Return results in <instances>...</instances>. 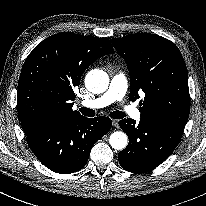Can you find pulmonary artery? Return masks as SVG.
<instances>
[{
    "mask_svg": "<svg viewBox=\"0 0 206 206\" xmlns=\"http://www.w3.org/2000/svg\"><path fill=\"white\" fill-rule=\"evenodd\" d=\"M127 87L126 77L120 72L113 76L108 90L102 96L94 100L84 101L81 105L91 109L104 108L113 102L122 100L127 92ZM126 112L136 120L141 117L138 109L133 106L126 107Z\"/></svg>",
    "mask_w": 206,
    "mask_h": 206,
    "instance_id": "obj_1",
    "label": "pulmonary artery"
}]
</instances>
